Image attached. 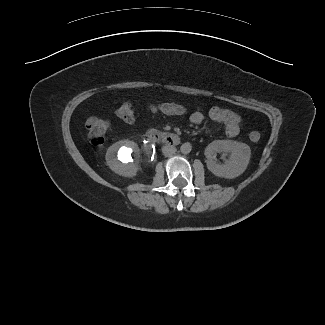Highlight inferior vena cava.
I'll return each instance as SVG.
<instances>
[{"label": "inferior vena cava", "instance_id": "inferior-vena-cava-1", "mask_svg": "<svg viewBox=\"0 0 325 325\" xmlns=\"http://www.w3.org/2000/svg\"><path fill=\"white\" fill-rule=\"evenodd\" d=\"M162 152L165 156L170 157L176 152V148L173 145H165L162 148Z\"/></svg>", "mask_w": 325, "mask_h": 325}]
</instances>
